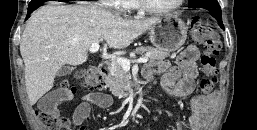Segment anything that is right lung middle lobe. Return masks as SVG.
<instances>
[{"instance_id": "obj_1", "label": "right lung middle lobe", "mask_w": 257, "mask_h": 130, "mask_svg": "<svg viewBox=\"0 0 257 130\" xmlns=\"http://www.w3.org/2000/svg\"><path fill=\"white\" fill-rule=\"evenodd\" d=\"M43 3L42 0H32L28 6V10L30 11H34L35 9H37L39 6H41Z\"/></svg>"}]
</instances>
